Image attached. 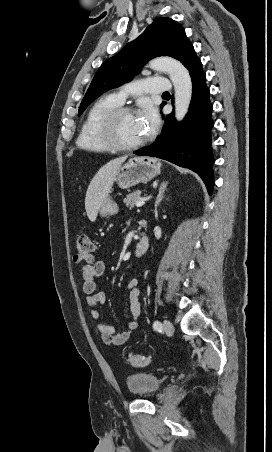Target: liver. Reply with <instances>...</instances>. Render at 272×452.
Returning a JSON list of instances; mask_svg holds the SVG:
<instances>
[{
    "instance_id": "liver-1",
    "label": "liver",
    "mask_w": 272,
    "mask_h": 452,
    "mask_svg": "<svg viewBox=\"0 0 272 452\" xmlns=\"http://www.w3.org/2000/svg\"><path fill=\"white\" fill-rule=\"evenodd\" d=\"M127 157L111 160L101 167L91 180L85 197V210L90 221L96 220L102 203L112 190L117 172Z\"/></svg>"
}]
</instances>
